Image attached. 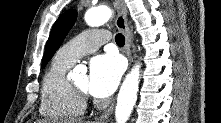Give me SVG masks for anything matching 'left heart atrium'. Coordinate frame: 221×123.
Wrapping results in <instances>:
<instances>
[{
	"label": "left heart atrium",
	"instance_id": "obj_1",
	"mask_svg": "<svg viewBox=\"0 0 221 123\" xmlns=\"http://www.w3.org/2000/svg\"><path fill=\"white\" fill-rule=\"evenodd\" d=\"M123 72L120 58L114 54L94 57L90 62L89 92L96 97H107L116 89Z\"/></svg>",
	"mask_w": 221,
	"mask_h": 123
}]
</instances>
